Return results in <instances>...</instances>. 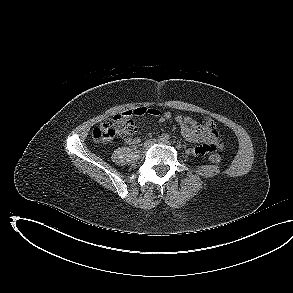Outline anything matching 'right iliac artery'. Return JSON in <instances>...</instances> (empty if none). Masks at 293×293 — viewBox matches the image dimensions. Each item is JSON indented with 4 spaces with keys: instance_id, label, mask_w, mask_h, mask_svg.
Wrapping results in <instances>:
<instances>
[{
    "instance_id": "82829eb1",
    "label": "right iliac artery",
    "mask_w": 293,
    "mask_h": 293,
    "mask_svg": "<svg viewBox=\"0 0 293 293\" xmlns=\"http://www.w3.org/2000/svg\"><path fill=\"white\" fill-rule=\"evenodd\" d=\"M169 135L167 133H164L160 136V140L168 141L169 140Z\"/></svg>"
}]
</instances>
